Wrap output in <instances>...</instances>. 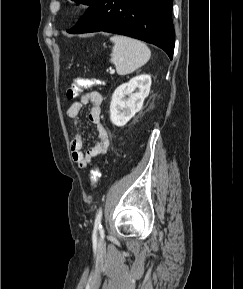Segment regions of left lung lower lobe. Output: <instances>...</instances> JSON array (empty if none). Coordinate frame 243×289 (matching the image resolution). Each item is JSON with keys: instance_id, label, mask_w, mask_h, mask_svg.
I'll list each match as a JSON object with an SVG mask.
<instances>
[{"instance_id": "1", "label": "left lung lower lobe", "mask_w": 243, "mask_h": 289, "mask_svg": "<svg viewBox=\"0 0 243 289\" xmlns=\"http://www.w3.org/2000/svg\"><path fill=\"white\" fill-rule=\"evenodd\" d=\"M173 0H93L68 33L104 31L152 43L172 59L175 32Z\"/></svg>"}]
</instances>
